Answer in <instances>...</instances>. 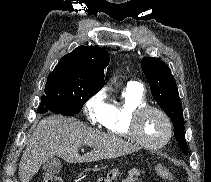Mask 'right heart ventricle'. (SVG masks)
Returning <instances> with one entry per match:
<instances>
[{
  "label": "right heart ventricle",
  "mask_w": 211,
  "mask_h": 182,
  "mask_svg": "<svg viewBox=\"0 0 211 182\" xmlns=\"http://www.w3.org/2000/svg\"><path fill=\"white\" fill-rule=\"evenodd\" d=\"M143 104H146V98L142 89L127 86L121 100L109 104L102 127L114 136L133 139L130 133V117L132 111Z\"/></svg>",
  "instance_id": "obj_1"
}]
</instances>
